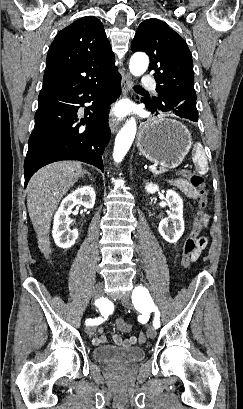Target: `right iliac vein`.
Segmentation results:
<instances>
[{
  "mask_svg": "<svg viewBox=\"0 0 243 409\" xmlns=\"http://www.w3.org/2000/svg\"><path fill=\"white\" fill-rule=\"evenodd\" d=\"M102 292H103V284L102 283L96 284L93 290L94 298H99L102 295ZM94 331H95V327L93 325H89L85 328V332L89 336L93 335Z\"/></svg>",
  "mask_w": 243,
  "mask_h": 409,
  "instance_id": "1",
  "label": "right iliac vein"
}]
</instances>
